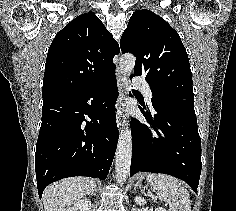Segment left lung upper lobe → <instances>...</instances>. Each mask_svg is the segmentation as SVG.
<instances>
[{
  "label": "left lung upper lobe",
  "mask_w": 236,
  "mask_h": 211,
  "mask_svg": "<svg viewBox=\"0 0 236 211\" xmlns=\"http://www.w3.org/2000/svg\"><path fill=\"white\" fill-rule=\"evenodd\" d=\"M120 48L136 56L132 76H146L153 106L195 114L188 55L180 36L166 21L149 10L134 12Z\"/></svg>",
  "instance_id": "obj_1"
}]
</instances>
